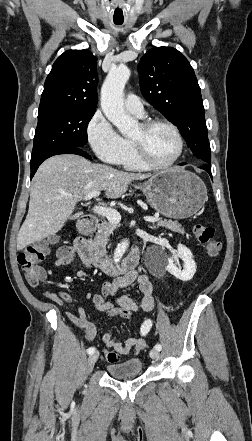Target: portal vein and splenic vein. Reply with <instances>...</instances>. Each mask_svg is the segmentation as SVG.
Instances as JSON below:
<instances>
[{"mask_svg": "<svg viewBox=\"0 0 252 441\" xmlns=\"http://www.w3.org/2000/svg\"><path fill=\"white\" fill-rule=\"evenodd\" d=\"M99 195H100V191H94V192H90V193L86 194L84 197H81L80 199L88 201V200L92 199L93 197H97ZM93 211L95 213L107 218V220L112 224H118L121 221V215L119 214V212L117 210L102 207V206H95L93 208ZM144 220L147 222H157V221H160L161 219L159 217L147 216V217H144Z\"/></svg>", "mask_w": 252, "mask_h": 441, "instance_id": "portal-vein-and-splenic-vein-1", "label": "portal vein and splenic vein"}]
</instances>
